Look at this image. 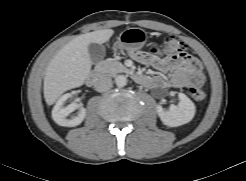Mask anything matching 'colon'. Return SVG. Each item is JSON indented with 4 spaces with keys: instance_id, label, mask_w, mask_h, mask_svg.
I'll return each instance as SVG.
<instances>
[{
    "instance_id": "obj_1",
    "label": "colon",
    "mask_w": 246,
    "mask_h": 181,
    "mask_svg": "<svg viewBox=\"0 0 246 181\" xmlns=\"http://www.w3.org/2000/svg\"><path fill=\"white\" fill-rule=\"evenodd\" d=\"M186 49V44L172 35H168L164 38L163 43L160 46L154 48L155 52L165 53V54H177L184 52ZM192 70L194 79L197 82L203 81V75L201 73V65L199 62L192 63ZM190 94L196 101H202L205 99L206 94L198 86H193L190 88Z\"/></svg>"
}]
</instances>
